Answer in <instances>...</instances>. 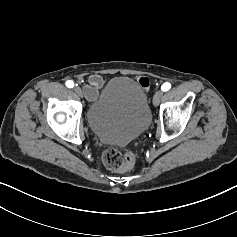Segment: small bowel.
<instances>
[{
  "mask_svg": "<svg viewBox=\"0 0 237 237\" xmlns=\"http://www.w3.org/2000/svg\"><path fill=\"white\" fill-rule=\"evenodd\" d=\"M138 82L144 89L147 90L149 88L148 78L139 77ZM103 85H104V79L101 75L98 74L91 75L88 78L86 85L84 86V94L86 98L90 101L95 100L98 96L99 90L103 87Z\"/></svg>",
  "mask_w": 237,
  "mask_h": 237,
  "instance_id": "obj_1",
  "label": "small bowel"
}]
</instances>
